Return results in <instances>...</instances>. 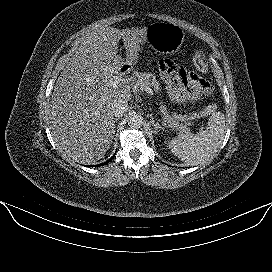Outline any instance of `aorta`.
<instances>
[{"label":"aorta","instance_id":"762f6f07","mask_svg":"<svg viewBox=\"0 0 272 272\" xmlns=\"http://www.w3.org/2000/svg\"><path fill=\"white\" fill-rule=\"evenodd\" d=\"M142 124H143V118L139 114H133L128 120V125L131 128H140Z\"/></svg>","mask_w":272,"mask_h":272}]
</instances>
